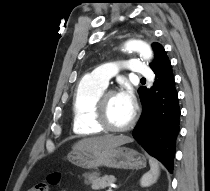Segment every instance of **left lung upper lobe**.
<instances>
[{
    "mask_svg": "<svg viewBox=\"0 0 210 191\" xmlns=\"http://www.w3.org/2000/svg\"><path fill=\"white\" fill-rule=\"evenodd\" d=\"M152 48L154 50V54H155V60L157 59L158 55L161 53V52H165L163 46L159 43H153L152 44ZM154 60V62H155Z\"/></svg>",
    "mask_w": 210,
    "mask_h": 191,
    "instance_id": "obj_1",
    "label": "left lung upper lobe"
}]
</instances>
